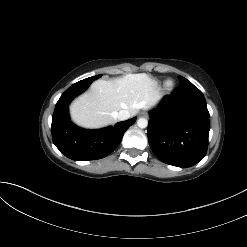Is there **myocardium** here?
Listing matches in <instances>:
<instances>
[{
	"mask_svg": "<svg viewBox=\"0 0 247 247\" xmlns=\"http://www.w3.org/2000/svg\"><path fill=\"white\" fill-rule=\"evenodd\" d=\"M166 85H167V87L170 89V88L173 87V82H172V81H168V82L166 83Z\"/></svg>",
	"mask_w": 247,
	"mask_h": 247,
	"instance_id": "myocardium-1",
	"label": "myocardium"
}]
</instances>
